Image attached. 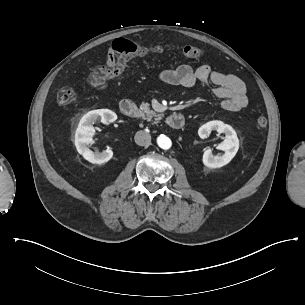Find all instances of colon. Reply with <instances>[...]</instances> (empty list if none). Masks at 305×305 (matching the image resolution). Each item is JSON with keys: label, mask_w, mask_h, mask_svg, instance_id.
<instances>
[{"label": "colon", "mask_w": 305, "mask_h": 305, "mask_svg": "<svg viewBox=\"0 0 305 305\" xmlns=\"http://www.w3.org/2000/svg\"><path fill=\"white\" fill-rule=\"evenodd\" d=\"M114 45L116 49V60L114 64L110 66H97L88 76V84L95 89H103L110 78L122 72L130 59L148 53H154V49L139 45L137 39L133 36H127L124 39L118 38L114 41ZM162 52L163 50L160 51V53ZM183 54L193 60L203 59L205 57L204 49L195 45H186L183 48ZM56 99L58 104L68 105L76 100V93L73 88L62 87L58 91ZM256 123L258 127L265 128L267 119L265 116H259Z\"/></svg>", "instance_id": "obj_1"}]
</instances>
